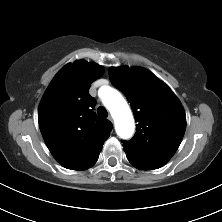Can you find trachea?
Here are the masks:
<instances>
[{
	"mask_svg": "<svg viewBox=\"0 0 222 222\" xmlns=\"http://www.w3.org/2000/svg\"><path fill=\"white\" fill-rule=\"evenodd\" d=\"M97 113L100 117L106 118L108 116V112L104 107H99L97 109Z\"/></svg>",
	"mask_w": 222,
	"mask_h": 222,
	"instance_id": "1",
	"label": "trachea"
}]
</instances>
